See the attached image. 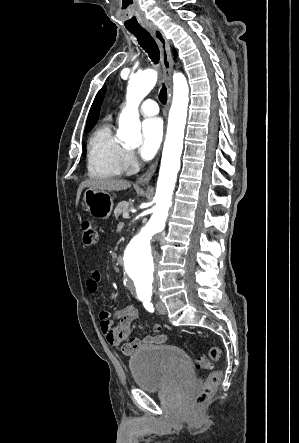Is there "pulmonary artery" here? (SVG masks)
<instances>
[{"label":"pulmonary artery","instance_id":"1","mask_svg":"<svg viewBox=\"0 0 299 443\" xmlns=\"http://www.w3.org/2000/svg\"><path fill=\"white\" fill-rule=\"evenodd\" d=\"M140 112L144 116H153L158 113V105L154 100H146L140 106Z\"/></svg>","mask_w":299,"mask_h":443}]
</instances>
